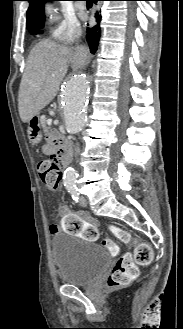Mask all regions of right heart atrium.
<instances>
[{
  "label": "right heart atrium",
  "mask_w": 183,
  "mask_h": 329,
  "mask_svg": "<svg viewBox=\"0 0 183 329\" xmlns=\"http://www.w3.org/2000/svg\"><path fill=\"white\" fill-rule=\"evenodd\" d=\"M80 26L76 21L66 22L57 28L54 33V39L67 42L76 39L80 35Z\"/></svg>",
  "instance_id": "right-heart-atrium-1"
}]
</instances>
